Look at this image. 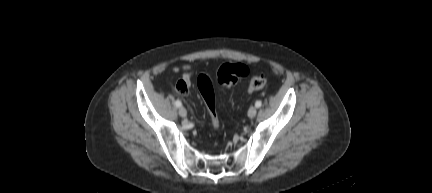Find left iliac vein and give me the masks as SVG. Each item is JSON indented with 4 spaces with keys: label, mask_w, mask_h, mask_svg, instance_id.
<instances>
[{
    "label": "left iliac vein",
    "mask_w": 432,
    "mask_h": 193,
    "mask_svg": "<svg viewBox=\"0 0 432 193\" xmlns=\"http://www.w3.org/2000/svg\"><path fill=\"white\" fill-rule=\"evenodd\" d=\"M256 113H257V109H256V107H255V106H251V107L249 108V110H248V116H249L250 118H253V117H255Z\"/></svg>",
    "instance_id": "4c4485c4"
}]
</instances>
